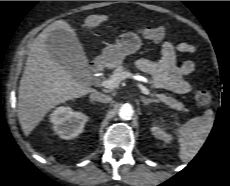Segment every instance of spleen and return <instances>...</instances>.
Listing matches in <instances>:
<instances>
[{"label":"spleen","mask_w":230,"mask_h":186,"mask_svg":"<svg viewBox=\"0 0 230 186\" xmlns=\"http://www.w3.org/2000/svg\"><path fill=\"white\" fill-rule=\"evenodd\" d=\"M213 111L208 109L201 117H196L181 125L176 134L179 140V157L183 162L191 161L205 143L212 127Z\"/></svg>","instance_id":"3e777b00"}]
</instances>
